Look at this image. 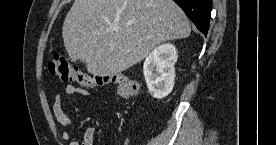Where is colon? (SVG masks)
<instances>
[{"instance_id":"1","label":"colon","mask_w":276,"mask_h":145,"mask_svg":"<svg viewBox=\"0 0 276 145\" xmlns=\"http://www.w3.org/2000/svg\"><path fill=\"white\" fill-rule=\"evenodd\" d=\"M52 76L63 81H74L84 87L113 86L120 98H131L139 93L138 85L129 76L116 73L99 75L72 67L64 56L54 55L48 63Z\"/></svg>"}]
</instances>
